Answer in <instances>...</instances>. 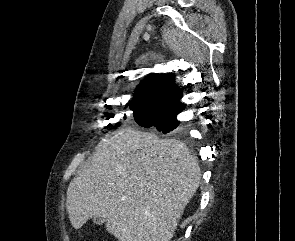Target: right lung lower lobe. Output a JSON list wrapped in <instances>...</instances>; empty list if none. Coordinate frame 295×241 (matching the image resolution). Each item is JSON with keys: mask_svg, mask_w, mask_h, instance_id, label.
Wrapping results in <instances>:
<instances>
[{"mask_svg": "<svg viewBox=\"0 0 295 241\" xmlns=\"http://www.w3.org/2000/svg\"><path fill=\"white\" fill-rule=\"evenodd\" d=\"M182 111V110H181ZM177 112L171 116H169L168 118L162 120V121H157L155 123H153L151 126L149 127H156V129L160 132L163 133H175L177 132V128L179 126V121L176 119V116L181 112ZM148 127V128H149Z\"/></svg>", "mask_w": 295, "mask_h": 241, "instance_id": "98d812e1", "label": "right lung lower lobe"}]
</instances>
